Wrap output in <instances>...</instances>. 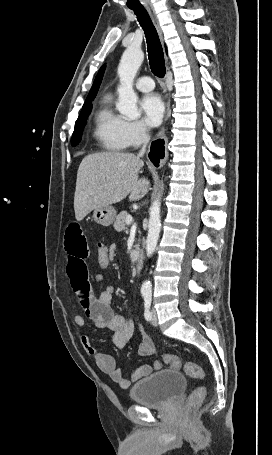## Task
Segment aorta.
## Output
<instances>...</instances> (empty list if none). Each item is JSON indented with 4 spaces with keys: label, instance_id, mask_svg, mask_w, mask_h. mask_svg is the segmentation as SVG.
<instances>
[{
    "label": "aorta",
    "instance_id": "762f6f07",
    "mask_svg": "<svg viewBox=\"0 0 272 455\" xmlns=\"http://www.w3.org/2000/svg\"><path fill=\"white\" fill-rule=\"evenodd\" d=\"M144 60V53L140 48L128 47L120 60L118 75L120 85L118 87L119 99L116 105L118 111L129 120L140 117L137 108V95L133 89V81L136 73ZM161 201L156 199L149 211L148 235L146 240V253L151 257L155 252L161 229ZM152 285L149 280L143 282L141 292L151 293Z\"/></svg>",
    "mask_w": 272,
    "mask_h": 455
}]
</instances>
